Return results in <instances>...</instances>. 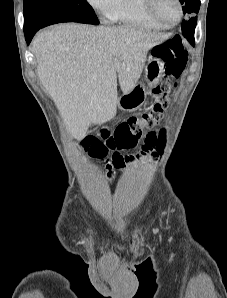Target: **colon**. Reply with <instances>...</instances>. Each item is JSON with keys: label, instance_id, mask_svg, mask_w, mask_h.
<instances>
[{"label": "colon", "instance_id": "obj_1", "mask_svg": "<svg viewBox=\"0 0 227 298\" xmlns=\"http://www.w3.org/2000/svg\"><path fill=\"white\" fill-rule=\"evenodd\" d=\"M154 56L164 64L165 75L161 82L152 89L155 101L148 112L133 116L121 122L114 129L104 128L100 138L105 139L112 150H128L134 148L142 137H145L143 149H152L164 144V133L159 137L151 131L158 125L169 103V95L175 88V80L180 77L187 64V50L179 36H174L154 48ZM86 139V138H85ZM84 146V144H83Z\"/></svg>", "mask_w": 227, "mask_h": 298}]
</instances>
